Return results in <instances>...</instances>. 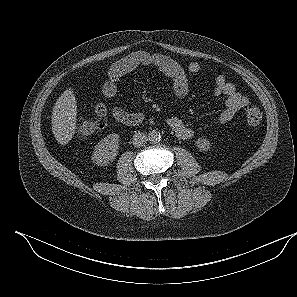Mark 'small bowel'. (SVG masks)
Segmentation results:
<instances>
[{"label":"small bowel","mask_w":297,"mask_h":297,"mask_svg":"<svg viewBox=\"0 0 297 297\" xmlns=\"http://www.w3.org/2000/svg\"><path fill=\"white\" fill-rule=\"evenodd\" d=\"M140 67H154L169 77L172 80L173 91L177 97H183L188 92V74H196L201 70V64L196 61L184 65L161 53L136 51L110 66L108 79L102 87L103 95L106 98L114 97L118 91L119 79ZM214 94L224 97L225 100V107L217 118L219 124L229 122L240 109L249 103L248 98L242 95L223 75H218L215 78ZM95 112L99 116H104L110 112L115 120L126 125H137L144 120L142 113H129L118 106L109 107L104 102L96 104ZM167 124L179 139L190 140L194 137V130L176 115L169 116Z\"/></svg>","instance_id":"obj_1"}]
</instances>
